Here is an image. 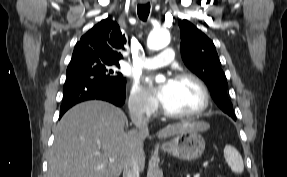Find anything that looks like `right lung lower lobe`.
Segmentation results:
<instances>
[{
  "instance_id": "1",
  "label": "right lung lower lobe",
  "mask_w": 287,
  "mask_h": 177,
  "mask_svg": "<svg viewBox=\"0 0 287 177\" xmlns=\"http://www.w3.org/2000/svg\"><path fill=\"white\" fill-rule=\"evenodd\" d=\"M125 83L106 81L91 75L67 78L63 87L60 117L72 106L87 100H104L122 106L126 94Z\"/></svg>"
}]
</instances>
